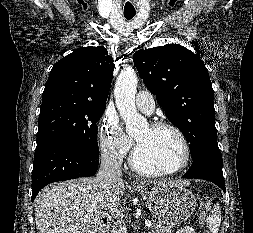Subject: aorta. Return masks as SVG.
I'll use <instances>...</instances> for the list:
<instances>
[{"label": "aorta", "mask_w": 253, "mask_h": 233, "mask_svg": "<svg viewBox=\"0 0 253 233\" xmlns=\"http://www.w3.org/2000/svg\"><path fill=\"white\" fill-rule=\"evenodd\" d=\"M137 83L134 70L126 68L119 74L114 89L116 106L129 134H134L147 125L146 119L139 115L135 106Z\"/></svg>", "instance_id": "762f6f07"}]
</instances>
